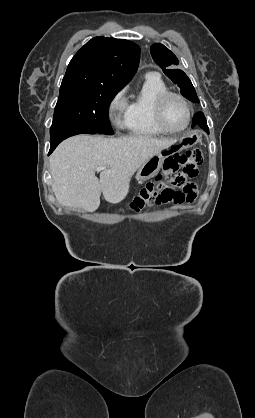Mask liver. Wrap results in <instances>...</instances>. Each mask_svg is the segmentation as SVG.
<instances>
[{
    "label": "liver",
    "mask_w": 255,
    "mask_h": 418,
    "mask_svg": "<svg viewBox=\"0 0 255 418\" xmlns=\"http://www.w3.org/2000/svg\"><path fill=\"white\" fill-rule=\"evenodd\" d=\"M177 139L147 136L105 138L77 135L63 141L50 157L52 189L66 207L93 212L100 195L112 204L128 194L134 173L150 158L175 144ZM104 166L98 179L95 169Z\"/></svg>",
    "instance_id": "obj_1"
}]
</instances>
